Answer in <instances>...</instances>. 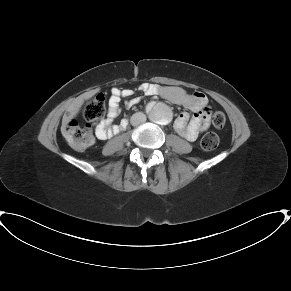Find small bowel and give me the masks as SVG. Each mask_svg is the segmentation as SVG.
Returning <instances> with one entry per match:
<instances>
[{
  "label": "small bowel",
  "instance_id": "obj_1",
  "mask_svg": "<svg viewBox=\"0 0 291 291\" xmlns=\"http://www.w3.org/2000/svg\"><path fill=\"white\" fill-rule=\"evenodd\" d=\"M139 89L145 95L160 96L194 113L190 119V115L187 112H182L174 120V130L185 139L194 141L208 130L210 120L207 115L206 96L202 92L188 93L178 86H160L152 83H142ZM132 95L133 91L131 89H120L116 87L111 89L107 119L95 125V134L99 140H105L126 128L127 120H122L120 124L111 125V123L119 114L120 99L129 98ZM138 101L139 99H132L127 105L132 106Z\"/></svg>",
  "mask_w": 291,
  "mask_h": 291
}]
</instances>
